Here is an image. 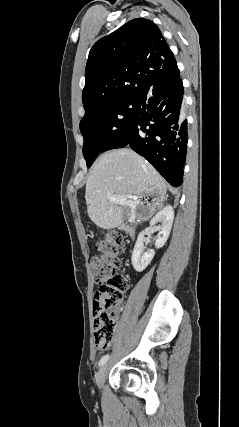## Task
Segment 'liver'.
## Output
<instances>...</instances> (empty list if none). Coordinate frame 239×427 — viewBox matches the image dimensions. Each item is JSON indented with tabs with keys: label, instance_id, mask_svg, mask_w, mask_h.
<instances>
[{
	"label": "liver",
	"instance_id": "6515ba94",
	"mask_svg": "<svg viewBox=\"0 0 239 427\" xmlns=\"http://www.w3.org/2000/svg\"><path fill=\"white\" fill-rule=\"evenodd\" d=\"M166 182L155 168L134 151L124 148L102 154L92 165L86 183L85 199L89 218L100 228L120 226L135 215V205L111 203L108 195L143 197L155 195L150 215L156 206L162 207Z\"/></svg>",
	"mask_w": 239,
	"mask_h": 427
}]
</instances>
